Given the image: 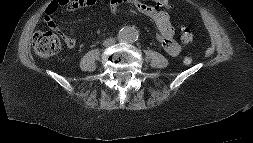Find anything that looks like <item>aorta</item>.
<instances>
[{"mask_svg": "<svg viewBox=\"0 0 253 143\" xmlns=\"http://www.w3.org/2000/svg\"><path fill=\"white\" fill-rule=\"evenodd\" d=\"M138 31L133 26L123 27L118 33V39L121 42L132 43L138 39Z\"/></svg>", "mask_w": 253, "mask_h": 143, "instance_id": "aorta-1", "label": "aorta"}]
</instances>
